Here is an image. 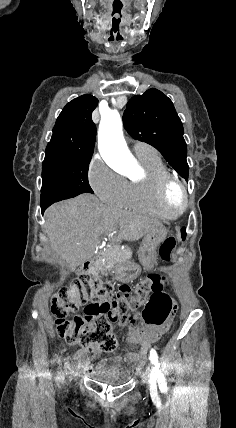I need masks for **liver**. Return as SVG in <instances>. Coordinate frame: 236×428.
Masks as SVG:
<instances>
[{"label": "liver", "mask_w": 236, "mask_h": 428, "mask_svg": "<svg viewBox=\"0 0 236 428\" xmlns=\"http://www.w3.org/2000/svg\"><path fill=\"white\" fill-rule=\"evenodd\" d=\"M155 226L163 224L148 216L119 212L93 194H82L50 206L45 212L44 230L53 250L75 270L95 256L102 238L136 242Z\"/></svg>", "instance_id": "obj_1"}]
</instances>
